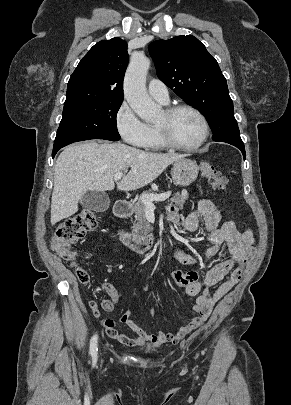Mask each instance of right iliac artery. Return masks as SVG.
Masks as SVG:
<instances>
[{
    "instance_id": "right-iliac-artery-1",
    "label": "right iliac artery",
    "mask_w": 291,
    "mask_h": 405,
    "mask_svg": "<svg viewBox=\"0 0 291 405\" xmlns=\"http://www.w3.org/2000/svg\"><path fill=\"white\" fill-rule=\"evenodd\" d=\"M97 334H95L92 338H91V341H90V354L93 356V357H96L97 356V350H98V348H97Z\"/></svg>"
}]
</instances>
